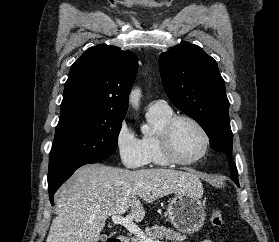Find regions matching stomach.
I'll use <instances>...</instances> for the list:
<instances>
[{
  "mask_svg": "<svg viewBox=\"0 0 279 242\" xmlns=\"http://www.w3.org/2000/svg\"><path fill=\"white\" fill-rule=\"evenodd\" d=\"M200 196L192 192H179L169 201L168 218L183 233H196L204 225L206 213Z\"/></svg>",
  "mask_w": 279,
  "mask_h": 242,
  "instance_id": "obj_1",
  "label": "stomach"
}]
</instances>
